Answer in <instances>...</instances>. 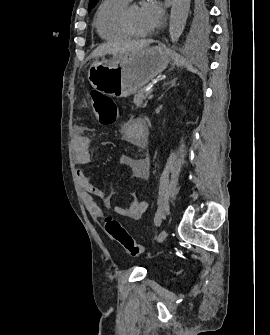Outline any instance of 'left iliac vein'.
<instances>
[{
    "instance_id": "obj_1",
    "label": "left iliac vein",
    "mask_w": 270,
    "mask_h": 335,
    "mask_svg": "<svg viewBox=\"0 0 270 335\" xmlns=\"http://www.w3.org/2000/svg\"><path fill=\"white\" fill-rule=\"evenodd\" d=\"M166 236H167V231L164 229V230H162V231L160 232V234L158 235V237H157V242L160 243V242L164 241L165 238H166Z\"/></svg>"
}]
</instances>
